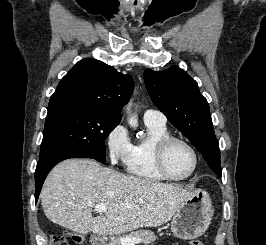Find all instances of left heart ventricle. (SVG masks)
I'll return each mask as SVG.
<instances>
[{
    "label": "left heart ventricle",
    "instance_id": "obj_1",
    "mask_svg": "<svg viewBox=\"0 0 266 245\" xmlns=\"http://www.w3.org/2000/svg\"><path fill=\"white\" fill-rule=\"evenodd\" d=\"M165 161L172 176L183 178L192 171L195 159L189 147L181 142H174L166 152Z\"/></svg>",
    "mask_w": 266,
    "mask_h": 245
}]
</instances>
